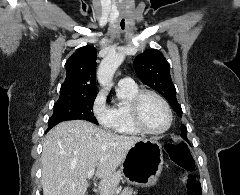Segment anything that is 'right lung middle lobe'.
<instances>
[{
	"label": "right lung middle lobe",
	"mask_w": 240,
	"mask_h": 195,
	"mask_svg": "<svg viewBox=\"0 0 240 195\" xmlns=\"http://www.w3.org/2000/svg\"><path fill=\"white\" fill-rule=\"evenodd\" d=\"M96 96L60 97L49 120L48 129L62 121L82 119L98 125L93 115V103Z\"/></svg>",
	"instance_id": "1"
}]
</instances>
